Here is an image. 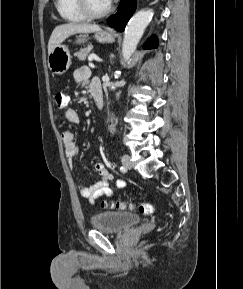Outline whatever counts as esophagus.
<instances>
[{
  "instance_id": "34e87169",
  "label": "esophagus",
  "mask_w": 243,
  "mask_h": 289,
  "mask_svg": "<svg viewBox=\"0 0 243 289\" xmlns=\"http://www.w3.org/2000/svg\"><path fill=\"white\" fill-rule=\"evenodd\" d=\"M108 31H109V32H112V33H113V32H115V30H114V29H109Z\"/></svg>"
}]
</instances>
